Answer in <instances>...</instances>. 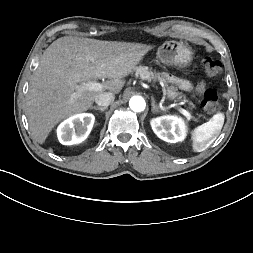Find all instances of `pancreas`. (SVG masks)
<instances>
[{"label":"pancreas","mask_w":253,"mask_h":253,"mask_svg":"<svg viewBox=\"0 0 253 253\" xmlns=\"http://www.w3.org/2000/svg\"><path fill=\"white\" fill-rule=\"evenodd\" d=\"M134 71L135 75L137 77H140L142 80H147L148 82L159 81L163 83V93L167 95L169 99L187 102V100L185 99V95L178 92L177 88L173 85H169L176 80V78L174 76H170L169 73L153 72L152 68H148L147 66L136 67ZM190 105L193 104L190 102Z\"/></svg>","instance_id":"cf45deb5"}]
</instances>
